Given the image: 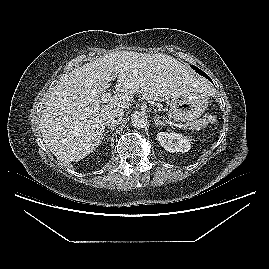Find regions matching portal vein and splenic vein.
<instances>
[{
  "instance_id": "18ae733b",
  "label": "portal vein and splenic vein",
  "mask_w": 269,
  "mask_h": 269,
  "mask_svg": "<svg viewBox=\"0 0 269 269\" xmlns=\"http://www.w3.org/2000/svg\"><path fill=\"white\" fill-rule=\"evenodd\" d=\"M112 93L111 92H107L105 94H102L101 96V100L103 103H107L109 101V98L111 97Z\"/></svg>"
}]
</instances>
